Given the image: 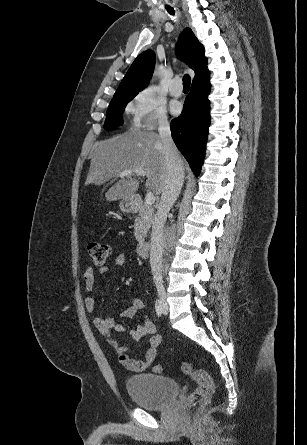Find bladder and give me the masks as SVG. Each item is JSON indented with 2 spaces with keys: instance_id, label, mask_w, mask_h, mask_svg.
Returning <instances> with one entry per match:
<instances>
[{
  "instance_id": "31cf9c89",
  "label": "bladder",
  "mask_w": 307,
  "mask_h": 445,
  "mask_svg": "<svg viewBox=\"0 0 307 445\" xmlns=\"http://www.w3.org/2000/svg\"><path fill=\"white\" fill-rule=\"evenodd\" d=\"M126 389L132 401L138 406L149 410H160L176 399L179 384L169 377L138 373L127 378Z\"/></svg>"
}]
</instances>
